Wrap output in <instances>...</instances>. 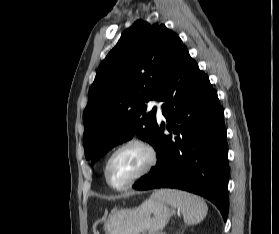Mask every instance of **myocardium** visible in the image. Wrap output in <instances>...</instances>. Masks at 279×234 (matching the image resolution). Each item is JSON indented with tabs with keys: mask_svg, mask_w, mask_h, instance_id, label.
Segmentation results:
<instances>
[{
	"mask_svg": "<svg viewBox=\"0 0 279 234\" xmlns=\"http://www.w3.org/2000/svg\"><path fill=\"white\" fill-rule=\"evenodd\" d=\"M132 146L139 147L145 152L146 158H147L146 163L142 167V169L135 176H133L129 181H127L121 185H115L111 182V180L109 178L110 164L118 153H120L122 150H124L128 147H132ZM156 162H157V152L151 143H149L148 141H146L142 138H138V137L130 138V139L122 142L111 152V154L109 155V157L105 163L104 176H105L107 184L110 187H112L113 189L126 190V189L130 188L131 186H133L136 182L141 180L143 177H145L155 166Z\"/></svg>",
	"mask_w": 279,
	"mask_h": 234,
	"instance_id": "f54148a6",
	"label": "myocardium"
}]
</instances>
